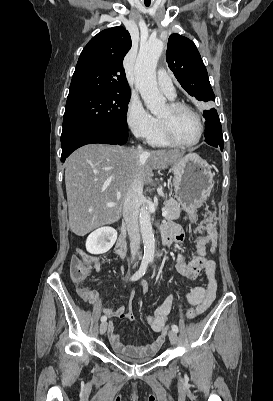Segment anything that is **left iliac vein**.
I'll list each match as a JSON object with an SVG mask.
<instances>
[{"mask_svg":"<svg viewBox=\"0 0 273 401\" xmlns=\"http://www.w3.org/2000/svg\"><path fill=\"white\" fill-rule=\"evenodd\" d=\"M169 340L171 341V343L176 344L178 342V335L176 332L174 331H170L169 332Z\"/></svg>","mask_w":273,"mask_h":401,"instance_id":"1","label":"left iliac vein"}]
</instances>
